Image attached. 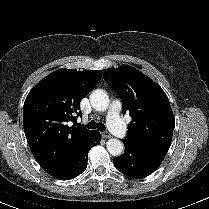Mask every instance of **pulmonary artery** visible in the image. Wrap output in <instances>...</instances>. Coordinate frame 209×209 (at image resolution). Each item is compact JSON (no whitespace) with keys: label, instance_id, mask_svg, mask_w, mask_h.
Listing matches in <instances>:
<instances>
[{"label":"pulmonary artery","instance_id":"1","mask_svg":"<svg viewBox=\"0 0 209 209\" xmlns=\"http://www.w3.org/2000/svg\"><path fill=\"white\" fill-rule=\"evenodd\" d=\"M121 110V104L119 101H113L108 109L107 113V125L111 132L118 137H124L126 135V128L124 127L119 113Z\"/></svg>","mask_w":209,"mask_h":209}]
</instances>
